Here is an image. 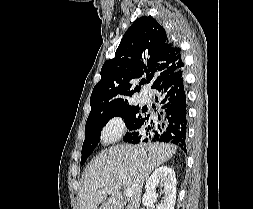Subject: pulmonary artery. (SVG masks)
<instances>
[{"label":"pulmonary artery","mask_w":253,"mask_h":209,"mask_svg":"<svg viewBox=\"0 0 253 209\" xmlns=\"http://www.w3.org/2000/svg\"><path fill=\"white\" fill-rule=\"evenodd\" d=\"M138 100L141 102V103H143V104H145V103H147L148 101H149V98H148V96L146 95V94H140L139 96H138Z\"/></svg>","instance_id":"e3ab8cb5"}]
</instances>
